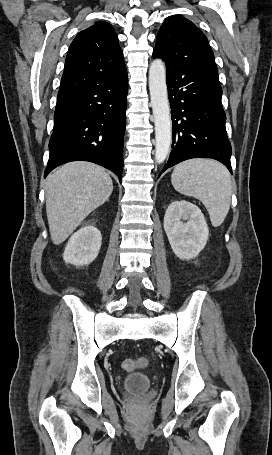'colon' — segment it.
<instances>
[{
	"mask_svg": "<svg viewBox=\"0 0 272 455\" xmlns=\"http://www.w3.org/2000/svg\"><path fill=\"white\" fill-rule=\"evenodd\" d=\"M147 365V360L145 358L140 359H126L122 363V367L126 371H134L138 368H143Z\"/></svg>",
	"mask_w": 272,
	"mask_h": 455,
	"instance_id": "obj_1",
	"label": "colon"
}]
</instances>
